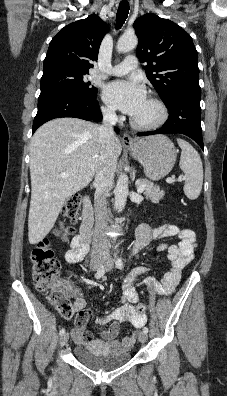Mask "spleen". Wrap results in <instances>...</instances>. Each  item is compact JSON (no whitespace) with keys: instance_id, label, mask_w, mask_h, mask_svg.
<instances>
[{"instance_id":"3e777b00","label":"spleen","mask_w":227,"mask_h":396,"mask_svg":"<svg viewBox=\"0 0 227 396\" xmlns=\"http://www.w3.org/2000/svg\"><path fill=\"white\" fill-rule=\"evenodd\" d=\"M182 152L179 166L184 172V193L189 199H196L200 195L203 184V166L200 155L191 144L177 139Z\"/></svg>"}]
</instances>
